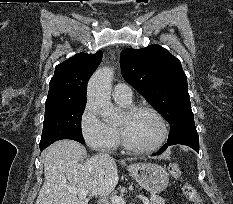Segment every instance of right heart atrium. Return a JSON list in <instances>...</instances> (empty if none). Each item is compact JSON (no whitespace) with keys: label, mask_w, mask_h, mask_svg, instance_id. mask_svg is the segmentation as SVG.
<instances>
[{"label":"right heart atrium","mask_w":233,"mask_h":204,"mask_svg":"<svg viewBox=\"0 0 233 204\" xmlns=\"http://www.w3.org/2000/svg\"><path fill=\"white\" fill-rule=\"evenodd\" d=\"M80 132L85 143L93 150L108 151L117 145L113 129L100 119L89 103H86L80 115Z\"/></svg>","instance_id":"obj_1"}]
</instances>
